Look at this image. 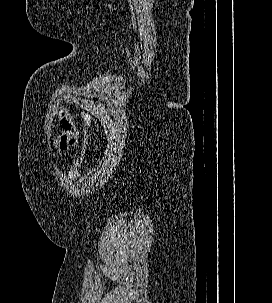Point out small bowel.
I'll return each mask as SVG.
<instances>
[{
  "label": "small bowel",
  "mask_w": 272,
  "mask_h": 303,
  "mask_svg": "<svg viewBox=\"0 0 272 303\" xmlns=\"http://www.w3.org/2000/svg\"><path fill=\"white\" fill-rule=\"evenodd\" d=\"M57 122L59 132L54 140V147L58 153L61 154L77 144L79 140V131L73 115L67 110L59 112Z\"/></svg>",
  "instance_id": "1"
}]
</instances>
